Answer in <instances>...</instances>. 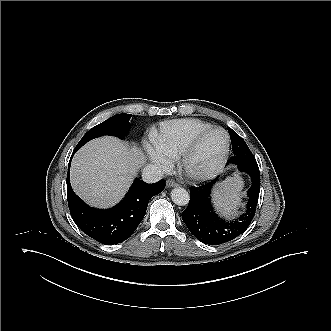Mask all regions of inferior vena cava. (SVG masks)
Returning a JSON list of instances; mask_svg holds the SVG:
<instances>
[{
	"mask_svg": "<svg viewBox=\"0 0 331 331\" xmlns=\"http://www.w3.org/2000/svg\"><path fill=\"white\" fill-rule=\"evenodd\" d=\"M164 177L161 167L156 164H147L142 169V179L146 183H156Z\"/></svg>",
	"mask_w": 331,
	"mask_h": 331,
	"instance_id": "1",
	"label": "inferior vena cava"
}]
</instances>
